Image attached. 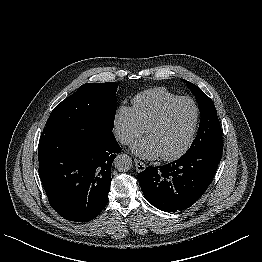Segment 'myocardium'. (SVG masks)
<instances>
[{
    "label": "myocardium",
    "mask_w": 262,
    "mask_h": 262,
    "mask_svg": "<svg viewBox=\"0 0 262 262\" xmlns=\"http://www.w3.org/2000/svg\"><path fill=\"white\" fill-rule=\"evenodd\" d=\"M182 101H189L194 105L195 108V116H194V122L192 125V129L190 131L189 137L186 141V143L175 153L171 155H161L162 160L164 161H173L176 159H179L182 157L191 147L193 144V141L195 139V135L198 129L199 120H200V107L195 99L189 96H180L176 98L175 100L169 102L165 107L162 108V110L158 113V115L148 124V126L145 128L146 134L148 131L164 122L166 119V116L170 112V110L178 103Z\"/></svg>",
    "instance_id": "myocardium-1"
}]
</instances>
